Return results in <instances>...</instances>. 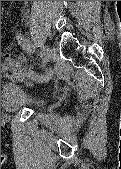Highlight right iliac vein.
Returning <instances> with one entry per match:
<instances>
[{
  "mask_svg": "<svg viewBox=\"0 0 121 169\" xmlns=\"http://www.w3.org/2000/svg\"><path fill=\"white\" fill-rule=\"evenodd\" d=\"M51 56V50L46 45H41V57L43 62V67L48 63ZM50 77V75H48Z\"/></svg>",
  "mask_w": 121,
  "mask_h": 169,
  "instance_id": "obj_1",
  "label": "right iliac vein"
}]
</instances>
